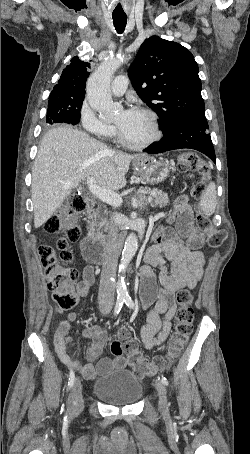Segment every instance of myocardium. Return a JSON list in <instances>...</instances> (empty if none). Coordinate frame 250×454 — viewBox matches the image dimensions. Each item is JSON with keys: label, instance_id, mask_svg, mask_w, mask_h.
<instances>
[{"label": "myocardium", "instance_id": "1", "mask_svg": "<svg viewBox=\"0 0 250 454\" xmlns=\"http://www.w3.org/2000/svg\"><path fill=\"white\" fill-rule=\"evenodd\" d=\"M133 111L141 112L150 118L152 126H153L152 136L149 137L147 140H145L142 143H132L123 136L120 128L118 127V125H116L117 139L123 146H125L129 149L143 150V149L150 147L151 145H153L155 142H157L161 138L162 132H161V128H160L159 118L153 110H151L147 107L138 106V107L134 108Z\"/></svg>", "mask_w": 250, "mask_h": 454}]
</instances>
